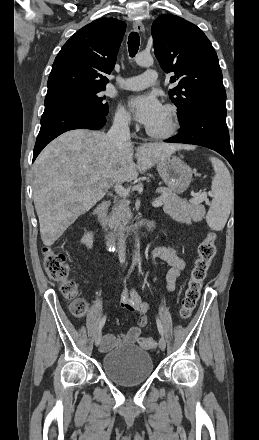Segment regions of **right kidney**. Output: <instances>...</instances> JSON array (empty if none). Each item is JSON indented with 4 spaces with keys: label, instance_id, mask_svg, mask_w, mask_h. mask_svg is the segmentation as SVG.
<instances>
[{
    "label": "right kidney",
    "instance_id": "1",
    "mask_svg": "<svg viewBox=\"0 0 259 440\" xmlns=\"http://www.w3.org/2000/svg\"><path fill=\"white\" fill-rule=\"evenodd\" d=\"M81 243L85 244L87 248L91 249L93 247V234L91 232L84 234L81 239Z\"/></svg>",
    "mask_w": 259,
    "mask_h": 440
}]
</instances>
